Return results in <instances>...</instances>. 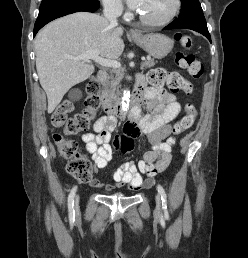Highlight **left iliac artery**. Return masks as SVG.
Masks as SVG:
<instances>
[{
	"label": "left iliac artery",
	"mask_w": 248,
	"mask_h": 258,
	"mask_svg": "<svg viewBox=\"0 0 248 258\" xmlns=\"http://www.w3.org/2000/svg\"><path fill=\"white\" fill-rule=\"evenodd\" d=\"M157 190L161 196V200H162V209L164 210L165 213H167V195L166 192L164 190V188L161 185L157 186Z\"/></svg>",
	"instance_id": "1"
}]
</instances>
